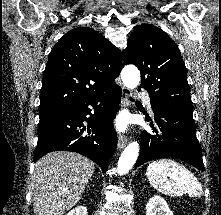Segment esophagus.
<instances>
[{
	"mask_svg": "<svg viewBox=\"0 0 221 215\" xmlns=\"http://www.w3.org/2000/svg\"><path fill=\"white\" fill-rule=\"evenodd\" d=\"M130 90L123 87L122 88V96H121V105L126 106L129 102ZM128 143V138L125 134L120 133L118 135V148L122 149Z\"/></svg>",
	"mask_w": 221,
	"mask_h": 215,
	"instance_id": "esophagus-1",
	"label": "esophagus"
}]
</instances>
